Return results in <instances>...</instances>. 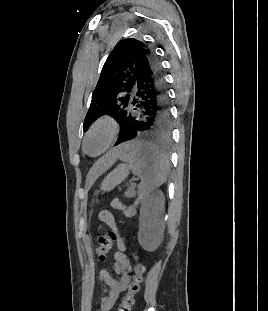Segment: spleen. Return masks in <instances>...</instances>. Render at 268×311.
<instances>
[{
    "label": "spleen",
    "instance_id": "1",
    "mask_svg": "<svg viewBox=\"0 0 268 311\" xmlns=\"http://www.w3.org/2000/svg\"><path fill=\"white\" fill-rule=\"evenodd\" d=\"M117 151L121 153L120 159L127 162L132 173L141 179L134 207L145 204L150 193L167 180V157L148 140H122L121 144H117Z\"/></svg>",
    "mask_w": 268,
    "mask_h": 311
}]
</instances>
